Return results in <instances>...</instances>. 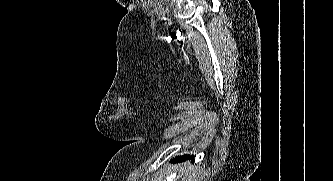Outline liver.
<instances>
[{
    "label": "liver",
    "instance_id": "1",
    "mask_svg": "<svg viewBox=\"0 0 333 181\" xmlns=\"http://www.w3.org/2000/svg\"><path fill=\"white\" fill-rule=\"evenodd\" d=\"M182 181H198V167L191 166L189 163L177 166Z\"/></svg>",
    "mask_w": 333,
    "mask_h": 181
}]
</instances>
